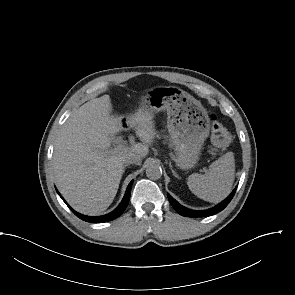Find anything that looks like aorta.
<instances>
[{"label":"aorta","mask_w":295,"mask_h":295,"mask_svg":"<svg viewBox=\"0 0 295 295\" xmlns=\"http://www.w3.org/2000/svg\"><path fill=\"white\" fill-rule=\"evenodd\" d=\"M146 175L152 180H157L162 176V169L159 164L151 163L146 168Z\"/></svg>","instance_id":"762f6f07"}]
</instances>
